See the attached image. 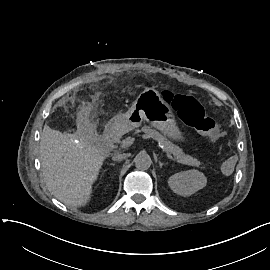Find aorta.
<instances>
[{"label": "aorta", "mask_w": 270, "mask_h": 270, "mask_svg": "<svg viewBox=\"0 0 270 270\" xmlns=\"http://www.w3.org/2000/svg\"><path fill=\"white\" fill-rule=\"evenodd\" d=\"M135 166L141 170H147L152 163L150 156L145 152H140L134 158Z\"/></svg>", "instance_id": "1"}]
</instances>
